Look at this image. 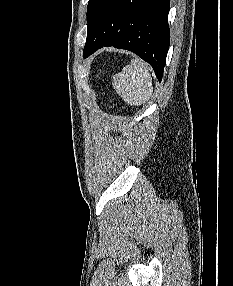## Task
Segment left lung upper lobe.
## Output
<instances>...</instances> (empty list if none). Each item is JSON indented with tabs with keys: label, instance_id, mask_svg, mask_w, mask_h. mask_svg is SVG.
Segmentation results:
<instances>
[{
	"label": "left lung upper lobe",
	"instance_id": "1",
	"mask_svg": "<svg viewBox=\"0 0 233 286\" xmlns=\"http://www.w3.org/2000/svg\"><path fill=\"white\" fill-rule=\"evenodd\" d=\"M93 1H94V0H89L88 8H87V16H88V14H89V12H90V8H91V5H92Z\"/></svg>",
	"mask_w": 233,
	"mask_h": 286
}]
</instances>
